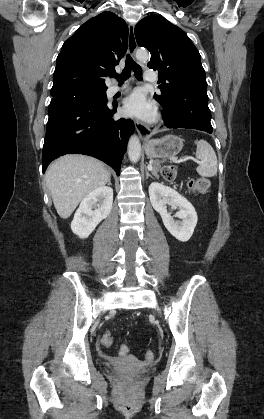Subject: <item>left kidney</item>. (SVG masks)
Wrapping results in <instances>:
<instances>
[{
  "instance_id": "5707ae66",
  "label": "left kidney",
  "mask_w": 264,
  "mask_h": 419,
  "mask_svg": "<svg viewBox=\"0 0 264 419\" xmlns=\"http://www.w3.org/2000/svg\"><path fill=\"white\" fill-rule=\"evenodd\" d=\"M149 197L153 208L160 214L164 226L176 239L188 241L197 224V213L193 205L176 190L162 183L153 182L149 186ZM167 205L178 206L176 217L182 221L176 222L167 212Z\"/></svg>"
}]
</instances>
